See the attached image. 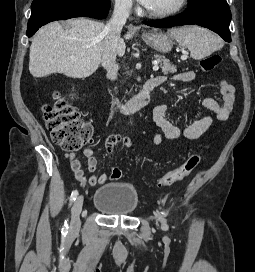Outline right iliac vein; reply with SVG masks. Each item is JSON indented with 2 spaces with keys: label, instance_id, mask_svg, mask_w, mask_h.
Listing matches in <instances>:
<instances>
[{
  "label": "right iliac vein",
  "instance_id": "right-iliac-vein-1",
  "mask_svg": "<svg viewBox=\"0 0 255 272\" xmlns=\"http://www.w3.org/2000/svg\"><path fill=\"white\" fill-rule=\"evenodd\" d=\"M83 200H84L83 195H80L76 199L72 207V211H71L72 216H71V225H70L71 233L77 232L80 228V213L82 211Z\"/></svg>",
  "mask_w": 255,
  "mask_h": 272
}]
</instances>
